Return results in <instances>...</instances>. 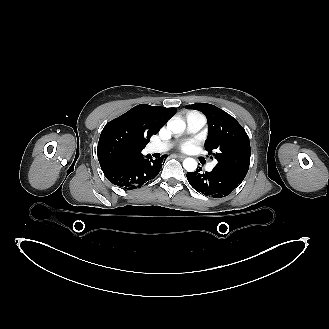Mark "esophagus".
Masks as SVG:
<instances>
[{"mask_svg": "<svg viewBox=\"0 0 329 329\" xmlns=\"http://www.w3.org/2000/svg\"><path fill=\"white\" fill-rule=\"evenodd\" d=\"M177 157L180 158V159H184L186 156L182 155V154H178Z\"/></svg>", "mask_w": 329, "mask_h": 329, "instance_id": "1", "label": "esophagus"}]
</instances>
